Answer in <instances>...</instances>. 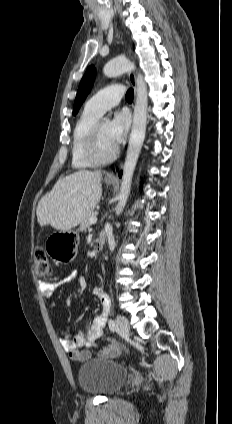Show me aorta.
Instances as JSON below:
<instances>
[{
  "mask_svg": "<svg viewBox=\"0 0 232 424\" xmlns=\"http://www.w3.org/2000/svg\"><path fill=\"white\" fill-rule=\"evenodd\" d=\"M135 69V65L128 59L118 57L112 59L104 66L103 73L105 76L112 78ZM136 86L137 94L133 114L132 130L124 163L123 176L121 179L120 192L118 196V204L115 208L117 216L122 213L128 200L133 173L146 133L148 107L147 85L140 73L137 74Z\"/></svg>",
  "mask_w": 232,
  "mask_h": 424,
  "instance_id": "762f6f07",
  "label": "aorta"
}]
</instances>
